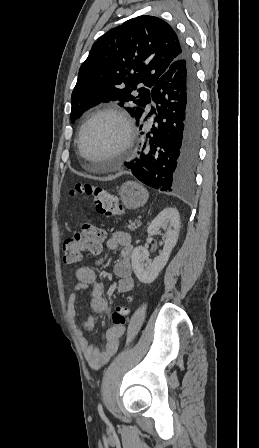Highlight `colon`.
I'll list each match as a JSON object with an SVG mask.
<instances>
[{"instance_id":"obj_1","label":"colon","mask_w":259,"mask_h":448,"mask_svg":"<svg viewBox=\"0 0 259 448\" xmlns=\"http://www.w3.org/2000/svg\"><path fill=\"white\" fill-rule=\"evenodd\" d=\"M75 193H84L91 196L96 211L101 214L116 216L124 213V207L118 198L109 190L99 185L78 183L72 190V194ZM103 238V230L97 228L92 223L84 222L75 236L63 242L64 261L67 263L81 262L86 252H97ZM129 301L130 298H127L125 303L116 306L113 310L110 315L111 327L118 328L124 326L129 314V308L127 306Z\"/></svg>"}]
</instances>
